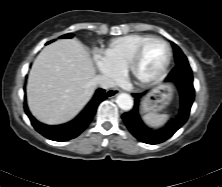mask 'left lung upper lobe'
I'll use <instances>...</instances> for the list:
<instances>
[{"mask_svg":"<svg viewBox=\"0 0 222 187\" xmlns=\"http://www.w3.org/2000/svg\"><path fill=\"white\" fill-rule=\"evenodd\" d=\"M174 49L175 63L177 64H188V60L181 49L174 43H172Z\"/></svg>","mask_w":222,"mask_h":187,"instance_id":"obj_1","label":"left lung upper lobe"}]
</instances>
